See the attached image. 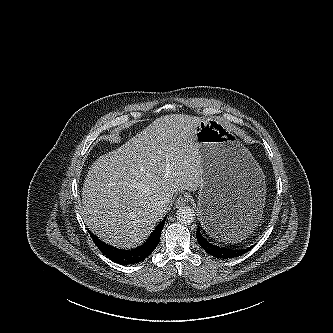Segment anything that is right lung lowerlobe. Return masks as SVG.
<instances>
[{
  "instance_id": "98d812e1",
  "label": "right lung lower lobe",
  "mask_w": 333,
  "mask_h": 333,
  "mask_svg": "<svg viewBox=\"0 0 333 333\" xmlns=\"http://www.w3.org/2000/svg\"><path fill=\"white\" fill-rule=\"evenodd\" d=\"M165 219L155 228L154 232L151 234L149 239L140 247L131 250H122L112 247L100 239H98L94 234L89 231L95 245L98 249L106 255L110 260L122 264H135L137 262L143 261L148 257L152 251L156 248L159 243L161 231L164 227Z\"/></svg>"
}]
</instances>
